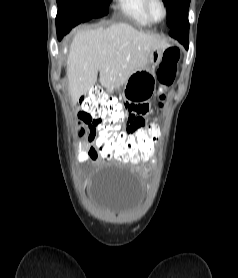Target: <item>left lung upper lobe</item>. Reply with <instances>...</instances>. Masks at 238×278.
Here are the masks:
<instances>
[{"mask_svg": "<svg viewBox=\"0 0 238 278\" xmlns=\"http://www.w3.org/2000/svg\"><path fill=\"white\" fill-rule=\"evenodd\" d=\"M168 9L167 25L172 28L189 9L190 0H165Z\"/></svg>", "mask_w": 238, "mask_h": 278, "instance_id": "5c2ea615", "label": "left lung upper lobe"}]
</instances>
